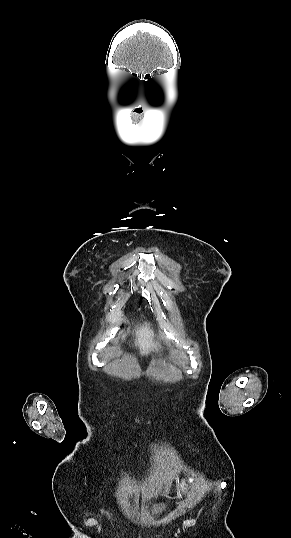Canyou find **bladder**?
I'll use <instances>...</instances> for the list:
<instances>
[{
  "instance_id": "obj_1",
  "label": "bladder",
  "mask_w": 291,
  "mask_h": 538,
  "mask_svg": "<svg viewBox=\"0 0 291 538\" xmlns=\"http://www.w3.org/2000/svg\"><path fill=\"white\" fill-rule=\"evenodd\" d=\"M169 509V505L165 500H159L152 503L146 512L147 518L151 521H159L164 517Z\"/></svg>"
}]
</instances>
